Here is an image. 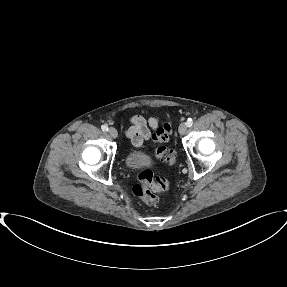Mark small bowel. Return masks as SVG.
I'll return each instance as SVG.
<instances>
[{
  "instance_id": "small-bowel-1",
  "label": "small bowel",
  "mask_w": 287,
  "mask_h": 287,
  "mask_svg": "<svg viewBox=\"0 0 287 287\" xmlns=\"http://www.w3.org/2000/svg\"><path fill=\"white\" fill-rule=\"evenodd\" d=\"M131 126L127 131V136L135 148H141L145 140L151 136L150 129H156L159 120L156 117L145 119L140 115H135L130 119Z\"/></svg>"
}]
</instances>
